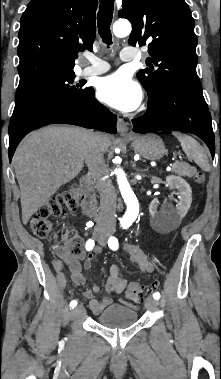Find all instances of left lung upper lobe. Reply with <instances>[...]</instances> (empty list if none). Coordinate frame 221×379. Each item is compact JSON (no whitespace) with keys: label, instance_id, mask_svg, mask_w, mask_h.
Here are the masks:
<instances>
[{"label":"left lung upper lobe","instance_id":"5c2ea615","mask_svg":"<svg viewBox=\"0 0 221 379\" xmlns=\"http://www.w3.org/2000/svg\"><path fill=\"white\" fill-rule=\"evenodd\" d=\"M119 16L133 25L132 46L149 42L150 68L137 73L148 94L160 86L202 93L195 22L185 0H123Z\"/></svg>","mask_w":221,"mask_h":379}]
</instances>
